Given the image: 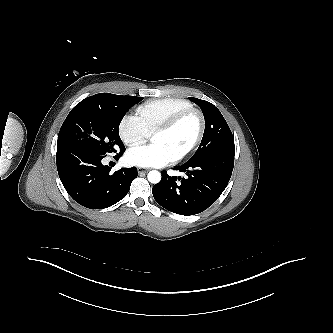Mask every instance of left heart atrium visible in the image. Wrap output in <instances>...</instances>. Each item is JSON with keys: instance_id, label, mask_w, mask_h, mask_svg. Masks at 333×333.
<instances>
[{"instance_id": "left-heart-atrium-1", "label": "left heart atrium", "mask_w": 333, "mask_h": 333, "mask_svg": "<svg viewBox=\"0 0 333 333\" xmlns=\"http://www.w3.org/2000/svg\"><path fill=\"white\" fill-rule=\"evenodd\" d=\"M125 160L129 165L139 167H162L172 158L161 144L141 145L127 151Z\"/></svg>"}]
</instances>
